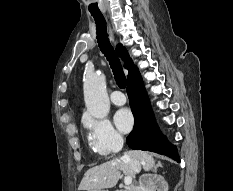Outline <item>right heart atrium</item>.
<instances>
[{"instance_id": "d8ad5b80", "label": "right heart atrium", "mask_w": 233, "mask_h": 191, "mask_svg": "<svg viewBox=\"0 0 233 191\" xmlns=\"http://www.w3.org/2000/svg\"><path fill=\"white\" fill-rule=\"evenodd\" d=\"M85 125L91 134L92 147L99 155H109L122 145V135L109 120L88 117L85 120Z\"/></svg>"}]
</instances>
